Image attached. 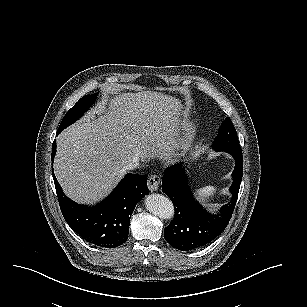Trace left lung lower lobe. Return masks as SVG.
Instances as JSON below:
<instances>
[{"label": "left lung lower lobe", "instance_id": "0a47b994", "mask_svg": "<svg viewBox=\"0 0 307 307\" xmlns=\"http://www.w3.org/2000/svg\"><path fill=\"white\" fill-rule=\"evenodd\" d=\"M235 159L230 187L232 198L217 215L207 213L193 198L181 164L169 167L162 178V191L172 200L175 216L165 228L164 237L181 251L200 249L215 240L227 227L234 211L243 174L242 153L231 154Z\"/></svg>", "mask_w": 307, "mask_h": 307}]
</instances>
